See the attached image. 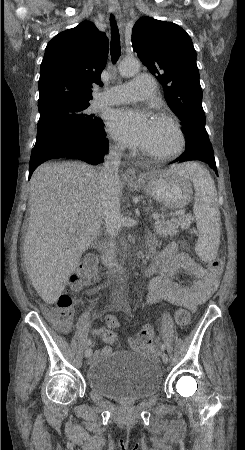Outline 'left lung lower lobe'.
<instances>
[{"label":"left lung lower lobe","instance_id":"1","mask_svg":"<svg viewBox=\"0 0 245 450\" xmlns=\"http://www.w3.org/2000/svg\"><path fill=\"white\" fill-rule=\"evenodd\" d=\"M191 159L201 160L209 164V166L215 171L216 175H218L215 158H214V151L211 148H202V150H195L192 152H185L181 154L177 159L172 161L171 163L175 162H184Z\"/></svg>","mask_w":245,"mask_h":450}]
</instances>
